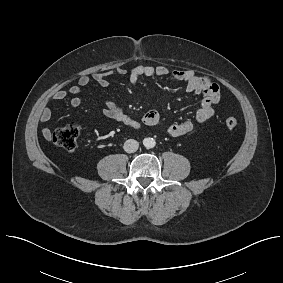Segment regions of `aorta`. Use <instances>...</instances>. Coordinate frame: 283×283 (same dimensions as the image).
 <instances>
[{
  "mask_svg": "<svg viewBox=\"0 0 283 283\" xmlns=\"http://www.w3.org/2000/svg\"><path fill=\"white\" fill-rule=\"evenodd\" d=\"M143 144L147 148H153L155 146V141L151 138H146L144 140Z\"/></svg>",
  "mask_w": 283,
  "mask_h": 283,
  "instance_id": "obj_1",
  "label": "aorta"
}]
</instances>
